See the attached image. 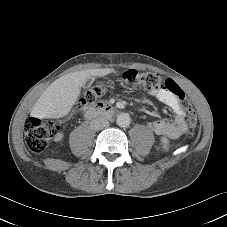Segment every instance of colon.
I'll list each match as a JSON object with an SVG mask.
<instances>
[{
    "label": "colon",
    "mask_w": 227,
    "mask_h": 227,
    "mask_svg": "<svg viewBox=\"0 0 227 227\" xmlns=\"http://www.w3.org/2000/svg\"><path fill=\"white\" fill-rule=\"evenodd\" d=\"M121 80L134 89H152L153 92L167 90L174 94L180 106L188 113V135L194 136L197 128L196 113L185 92L173 80L167 79L163 81L156 73L140 72L133 69L123 72ZM105 92L106 87L101 85L90 88L81 99L79 106L93 103ZM58 130V125L53 121H46L35 117L28 118L24 126L25 143L28 149L34 153L42 152L47 147L49 141L58 134Z\"/></svg>",
    "instance_id": "5ec220e1"
}]
</instances>
